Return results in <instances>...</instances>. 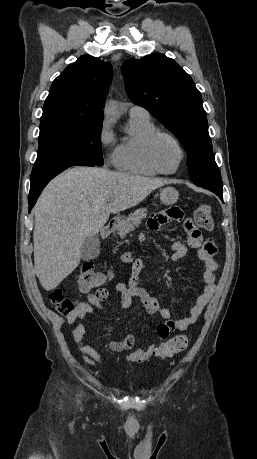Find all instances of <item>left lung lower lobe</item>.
<instances>
[{"mask_svg":"<svg viewBox=\"0 0 257 459\" xmlns=\"http://www.w3.org/2000/svg\"><path fill=\"white\" fill-rule=\"evenodd\" d=\"M214 193H215L216 195H218V196H219V198H220L221 200H223V197H222V192H214Z\"/></svg>","mask_w":257,"mask_h":459,"instance_id":"left-lung-lower-lobe-1","label":"left lung lower lobe"}]
</instances>
